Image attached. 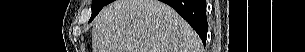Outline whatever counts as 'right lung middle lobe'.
Returning a JSON list of instances; mask_svg holds the SVG:
<instances>
[{
    "instance_id": "right-lung-middle-lobe-1",
    "label": "right lung middle lobe",
    "mask_w": 305,
    "mask_h": 52,
    "mask_svg": "<svg viewBox=\"0 0 305 52\" xmlns=\"http://www.w3.org/2000/svg\"><path fill=\"white\" fill-rule=\"evenodd\" d=\"M110 2V0H93L92 1V16L90 21L99 13V11Z\"/></svg>"
}]
</instances>
